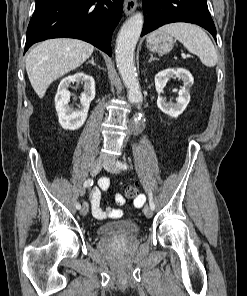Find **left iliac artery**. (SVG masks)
<instances>
[{
    "label": "left iliac artery",
    "mask_w": 247,
    "mask_h": 296,
    "mask_svg": "<svg viewBox=\"0 0 247 296\" xmlns=\"http://www.w3.org/2000/svg\"><path fill=\"white\" fill-rule=\"evenodd\" d=\"M116 165H117V167H119L120 169H123V170H126L128 168L127 164L123 163L121 161H117ZM149 205H150L152 210L155 209V205H154V202H153L151 191L149 192Z\"/></svg>",
    "instance_id": "obj_1"
}]
</instances>
